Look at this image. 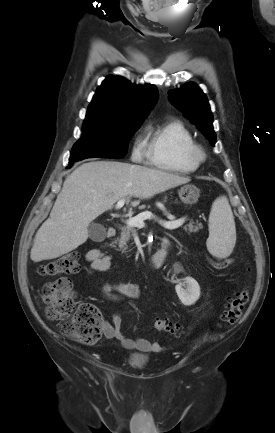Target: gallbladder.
Listing matches in <instances>:
<instances>
[{
    "instance_id": "gallbladder-1",
    "label": "gallbladder",
    "mask_w": 275,
    "mask_h": 433,
    "mask_svg": "<svg viewBox=\"0 0 275 433\" xmlns=\"http://www.w3.org/2000/svg\"><path fill=\"white\" fill-rule=\"evenodd\" d=\"M89 237L94 241H99L105 238L106 229L103 225L92 223L88 227Z\"/></svg>"
}]
</instances>
